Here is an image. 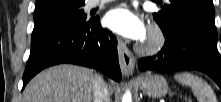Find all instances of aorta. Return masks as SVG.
<instances>
[{
  "mask_svg": "<svg viewBox=\"0 0 221 102\" xmlns=\"http://www.w3.org/2000/svg\"><path fill=\"white\" fill-rule=\"evenodd\" d=\"M122 102H132V96L131 93L129 91H127L123 98H122Z\"/></svg>",
  "mask_w": 221,
  "mask_h": 102,
  "instance_id": "obj_1",
  "label": "aorta"
}]
</instances>
